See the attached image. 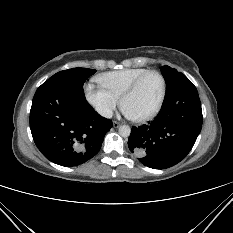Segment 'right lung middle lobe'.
Returning <instances> with one entry per match:
<instances>
[{
    "mask_svg": "<svg viewBox=\"0 0 233 233\" xmlns=\"http://www.w3.org/2000/svg\"><path fill=\"white\" fill-rule=\"evenodd\" d=\"M96 70L87 68H72L56 73L49 80L62 81L83 87L86 79L93 75Z\"/></svg>",
    "mask_w": 233,
    "mask_h": 233,
    "instance_id": "obj_1",
    "label": "right lung middle lobe"
}]
</instances>
